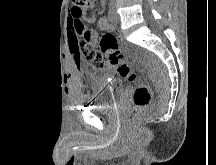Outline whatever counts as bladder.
Here are the masks:
<instances>
[{
    "label": "bladder",
    "instance_id": "1",
    "mask_svg": "<svg viewBox=\"0 0 216 165\" xmlns=\"http://www.w3.org/2000/svg\"><path fill=\"white\" fill-rule=\"evenodd\" d=\"M92 81H84L87 86V97H91V101L87 102L88 106H92V111H111L113 103H117L119 97H124L125 93L119 86H123L121 76H111L106 71L102 76H92Z\"/></svg>",
    "mask_w": 216,
    "mask_h": 165
}]
</instances>
